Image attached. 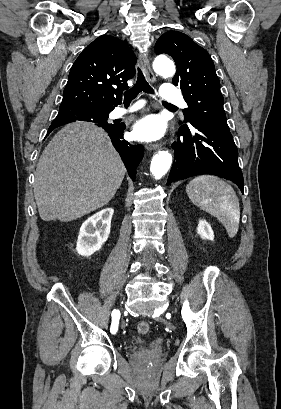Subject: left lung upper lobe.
I'll use <instances>...</instances> for the list:
<instances>
[{
	"label": "left lung upper lobe",
	"mask_w": 281,
	"mask_h": 409,
	"mask_svg": "<svg viewBox=\"0 0 281 409\" xmlns=\"http://www.w3.org/2000/svg\"><path fill=\"white\" fill-rule=\"evenodd\" d=\"M155 52L169 54L176 63L173 84L180 86L188 104L183 110L185 122L196 120L229 130L220 82L208 52L178 31L164 33L155 44Z\"/></svg>",
	"instance_id": "1"
}]
</instances>
